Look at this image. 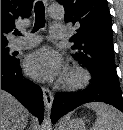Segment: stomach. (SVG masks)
<instances>
[{
    "label": "stomach",
    "mask_w": 123,
    "mask_h": 130,
    "mask_svg": "<svg viewBox=\"0 0 123 130\" xmlns=\"http://www.w3.org/2000/svg\"><path fill=\"white\" fill-rule=\"evenodd\" d=\"M66 130H86V122L81 118H73L67 122Z\"/></svg>",
    "instance_id": "0dacf381"
}]
</instances>
